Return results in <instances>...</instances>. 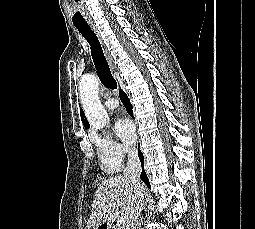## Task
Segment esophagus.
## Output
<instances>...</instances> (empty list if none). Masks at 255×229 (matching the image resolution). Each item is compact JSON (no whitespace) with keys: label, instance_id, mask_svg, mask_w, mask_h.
I'll return each instance as SVG.
<instances>
[{"label":"esophagus","instance_id":"1","mask_svg":"<svg viewBox=\"0 0 255 229\" xmlns=\"http://www.w3.org/2000/svg\"><path fill=\"white\" fill-rule=\"evenodd\" d=\"M89 25L92 28V30L94 31V33L96 34V36H97V38H98V40H99V42L101 44V47L103 49L104 55L106 57V60L108 62V65H109L111 71L114 72L115 71V66H114L113 58H112L109 50L107 49V47H106V45H105V43H104V41H103V39L101 37V34H100L97 26L93 22H89Z\"/></svg>","mask_w":255,"mask_h":229}]
</instances>
